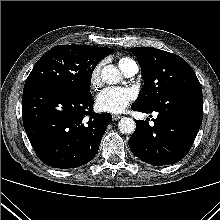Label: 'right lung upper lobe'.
<instances>
[{
	"mask_svg": "<svg viewBox=\"0 0 220 220\" xmlns=\"http://www.w3.org/2000/svg\"><path fill=\"white\" fill-rule=\"evenodd\" d=\"M89 47H91L94 51L100 54L103 58H105L106 56L110 55L113 52V50L110 48L97 47V46H89Z\"/></svg>",
	"mask_w": 220,
	"mask_h": 220,
	"instance_id": "1",
	"label": "right lung upper lobe"
}]
</instances>
